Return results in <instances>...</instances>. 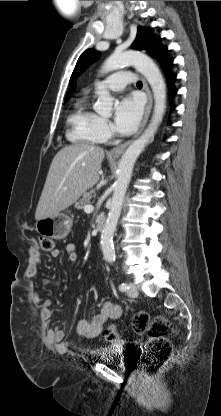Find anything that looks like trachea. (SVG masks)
<instances>
[{
	"mask_svg": "<svg viewBox=\"0 0 221 416\" xmlns=\"http://www.w3.org/2000/svg\"><path fill=\"white\" fill-rule=\"evenodd\" d=\"M137 87H142V82L141 81L137 82Z\"/></svg>",
	"mask_w": 221,
	"mask_h": 416,
	"instance_id": "3493384b",
	"label": "trachea"
}]
</instances>
